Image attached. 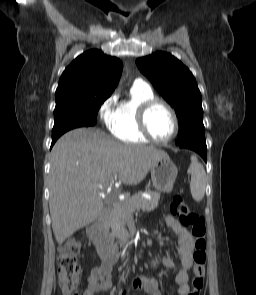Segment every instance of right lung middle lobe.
<instances>
[{
    "instance_id": "1",
    "label": "right lung middle lobe",
    "mask_w": 256,
    "mask_h": 295,
    "mask_svg": "<svg viewBox=\"0 0 256 295\" xmlns=\"http://www.w3.org/2000/svg\"><path fill=\"white\" fill-rule=\"evenodd\" d=\"M106 99L98 98L56 104L52 134L82 127L89 119L96 120L98 110Z\"/></svg>"
}]
</instances>
